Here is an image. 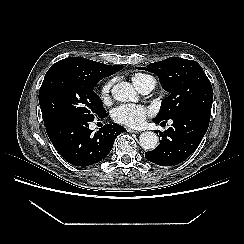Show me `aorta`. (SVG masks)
Here are the masks:
<instances>
[{
	"instance_id": "1",
	"label": "aorta",
	"mask_w": 244,
	"mask_h": 244,
	"mask_svg": "<svg viewBox=\"0 0 244 244\" xmlns=\"http://www.w3.org/2000/svg\"><path fill=\"white\" fill-rule=\"evenodd\" d=\"M115 100L120 102L137 101L138 96L130 83L120 82L113 86L111 90ZM140 146L145 150H153L158 145V136L156 133L147 131L143 132L139 137Z\"/></svg>"
}]
</instances>
